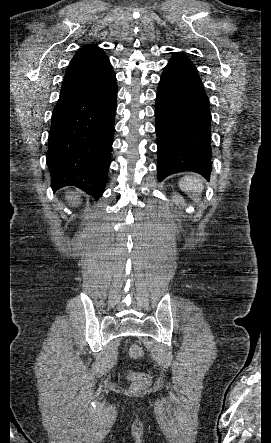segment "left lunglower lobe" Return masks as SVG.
<instances>
[{"label":"left lung lower lobe","mask_w":271,"mask_h":443,"mask_svg":"<svg viewBox=\"0 0 271 443\" xmlns=\"http://www.w3.org/2000/svg\"><path fill=\"white\" fill-rule=\"evenodd\" d=\"M209 100L195 65L174 53L159 82L155 105L158 180L193 171L211 172Z\"/></svg>","instance_id":"0a47b994"}]
</instances>
